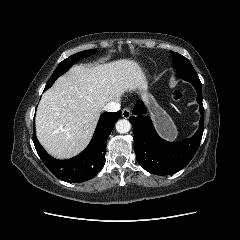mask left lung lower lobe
Returning <instances> with one entry per match:
<instances>
[{
	"label": "left lung lower lobe",
	"mask_w": 240,
	"mask_h": 240,
	"mask_svg": "<svg viewBox=\"0 0 240 240\" xmlns=\"http://www.w3.org/2000/svg\"><path fill=\"white\" fill-rule=\"evenodd\" d=\"M197 92L201 119L194 136L181 142H167L156 133L141 100L137 101L130 122L134 130L135 153L141 166L155 175L173 174L184 168L195 155L204 131L202 87L199 79H188Z\"/></svg>",
	"instance_id": "left-lung-lower-lobe-1"
}]
</instances>
